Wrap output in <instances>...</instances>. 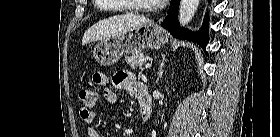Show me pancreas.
<instances>
[{
	"label": "pancreas",
	"mask_w": 280,
	"mask_h": 137,
	"mask_svg": "<svg viewBox=\"0 0 280 137\" xmlns=\"http://www.w3.org/2000/svg\"><path fill=\"white\" fill-rule=\"evenodd\" d=\"M148 56H145L142 53L132 55L126 59L127 64L130 65L132 69H142L145 60L148 59Z\"/></svg>",
	"instance_id": "1"
}]
</instances>
